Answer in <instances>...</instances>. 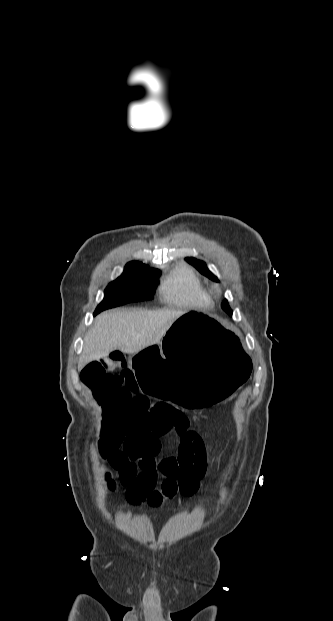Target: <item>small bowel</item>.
Returning a JSON list of instances; mask_svg holds the SVG:
<instances>
[{"mask_svg": "<svg viewBox=\"0 0 333 621\" xmlns=\"http://www.w3.org/2000/svg\"><path fill=\"white\" fill-rule=\"evenodd\" d=\"M80 381L102 410L101 455L121 471L127 469L130 460L138 461L140 473L132 464L135 475L127 490L129 504L146 501L158 506L163 498L178 492L185 496L196 492L207 467L203 442L188 430L182 411L166 403H153L138 392L121 351L87 362L80 371ZM171 432L180 436L178 455L157 461L160 438ZM157 470L166 476L159 489Z\"/></svg>", "mask_w": 333, "mask_h": 621, "instance_id": "obj_1", "label": "small bowel"}]
</instances>
